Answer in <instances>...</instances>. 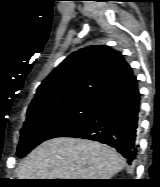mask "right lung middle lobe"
<instances>
[{
  "label": "right lung middle lobe",
  "instance_id": "dd1d6c3e",
  "mask_svg": "<svg viewBox=\"0 0 160 187\" xmlns=\"http://www.w3.org/2000/svg\"><path fill=\"white\" fill-rule=\"evenodd\" d=\"M98 100L76 99L28 109L17 155L23 158L41 142L59 137L89 115Z\"/></svg>",
  "mask_w": 160,
  "mask_h": 187
}]
</instances>
